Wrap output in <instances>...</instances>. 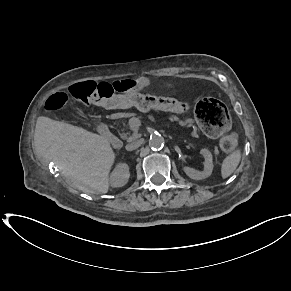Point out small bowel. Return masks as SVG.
<instances>
[{"mask_svg": "<svg viewBox=\"0 0 291 291\" xmlns=\"http://www.w3.org/2000/svg\"><path fill=\"white\" fill-rule=\"evenodd\" d=\"M131 84V93L138 94V91L144 86H157L159 88H169L171 86L170 83L167 82H159V83H152L146 80L138 79V80H127ZM180 101V100H179ZM123 107V106H121Z\"/></svg>", "mask_w": 291, "mask_h": 291, "instance_id": "small-bowel-1", "label": "small bowel"}]
</instances>
